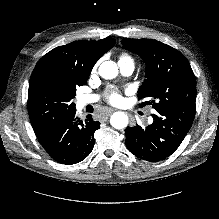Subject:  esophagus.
<instances>
[{
  "label": "esophagus",
  "mask_w": 219,
  "mask_h": 219,
  "mask_svg": "<svg viewBox=\"0 0 219 219\" xmlns=\"http://www.w3.org/2000/svg\"><path fill=\"white\" fill-rule=\"evenodd\" d=\"M114 111H116V109H113V108H112V109H109V110L107 111V113H108V114H111V113H113Z\"/></svg>",
  "instance_id": "1"
}]
</instances>
